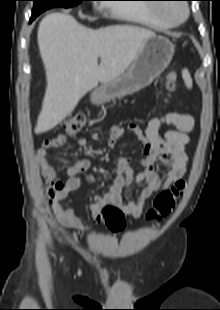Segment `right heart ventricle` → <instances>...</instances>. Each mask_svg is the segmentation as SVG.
I'll return each instance as SVG.
<instances>
[{
	"mask_svg": "<svg viewBox=\"0 0 220 310\" xmlns=\"http://www.w3.org/2000/svg\"><path fill=\"white\" fill-rule=\"evenodd\" d=\"M112 13L122 19L154 29H167L174 25L159 18L155 14V7L151 5L124 6L117 5Z\"/></svg>",
	"mask_w": 220,
	"mask_h": 310,
	"instance_id": "right-heart-ventricle-1",
	"label": "right heart ventricle"
}]
</instances>
